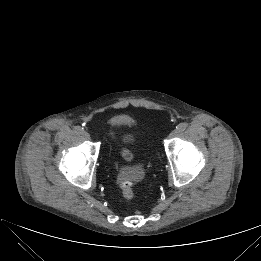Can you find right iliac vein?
I'll return each instance as SVG.
<instances>
[{"label":"right iliac vein","instance_id":"63e3f726","mask_svg":"<svg viewBox=\"0 0 261 261\" xmlns=\"http://www.w3.org/2000/svg\"><path fill=\"white\" fill-rule=\"evenodd\" d=\"M82 136H83V138L86 139V140H89V139H90V134H89L88 132H86V131L82 132Z\"/></svg>","mask_w":261,"mask_h":261}]
</instances>
